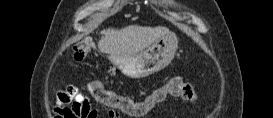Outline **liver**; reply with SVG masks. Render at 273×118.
I'll list each match as a JSON object with an SVG mask.
<instances>
[{
    "label": "liver",
    "mask_w": 273,
    "mask_h": 118,
    "mask_svg": "<svg viewBox=\"0 0 273 118\" xmlns=\"http://www.w3.org/2000/svg\"><path fill=\"white\" fill-rule=\"evenodd\" d=\"M169 33L163 26L142 27L130 25L121 30L108 29L98 42L102 53L113 55H132L153 44L159 37Z\"/></svg>",
    "instance_id": "liver-1"
}]
</instances>
